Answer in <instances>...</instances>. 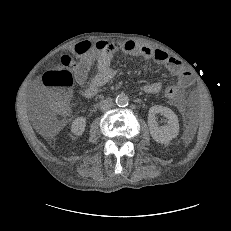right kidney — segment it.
<instances>
[{
  "mask_svg": "<svg viewBox=\"0 0 231 231\" xmlns=\"http://www.w3.org/2000/svg\"><path fill=\"white\" fill-rule=\"evenodd\" d=\"M86 126V119L84 117H77L73 120L71 125V131L74 135L80 136L83 134Z\"/></svg>",
  "mask_w": 231,
  "mask_h": 231,
  "instance_id": "ca27d5eb",
  "label": "right kidney"
}]
</instances>
